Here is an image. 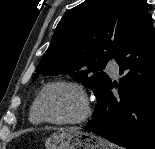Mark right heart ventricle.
<instances>
[{
	"label": "right heart ventricle",
	"instance_id": "e07e8e85",
	"mask_svg": "<svg viewBox=\"0 0 155 149\" xmlns=\"http://www.w3.org/2000/svg\"><path fill=\"white\" fill-rule=\"evenodd\" d=\"M29 120L34 125H41L43 123V121L40 119V117L38 116V114L35 111L34 103L30 107Z\"/></svg>",
	"mask_w": 155,
	"mask_h": 149
}]
</instances>
